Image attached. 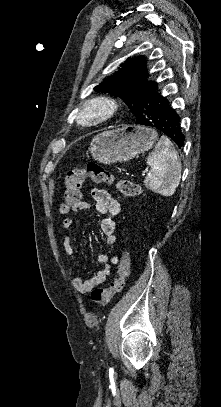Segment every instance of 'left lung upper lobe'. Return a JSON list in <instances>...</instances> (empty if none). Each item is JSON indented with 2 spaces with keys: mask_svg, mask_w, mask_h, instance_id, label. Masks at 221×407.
<instances>
[{
  "mask_svg": "<svg viewBox=\"0 0 221 407\" xmlns=\"http://www.w3.org/2000/svg\"><path fill=\"white\" fill-rule=\"evenodd\" d=\"M119 71L108 76L94 89L120 97L135 115L143 91L155 82L148 80V70L144 56L128 58L120 65Z\"/></svg>",
  "mask_w": 221,
  "mask_h": 407,
  "instance_id": "obj_1",
  "label": "left lung upper lobe"
}]
</instances>
